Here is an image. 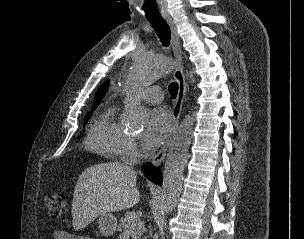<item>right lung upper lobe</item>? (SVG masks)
I'll return each instance as SVG.
<instances>
[{"label": "right lung upper lobe", "mask_w": 304, "mask_h": 239, "mask_svg": "<svg viewBox=\"0 0 304 239\" xmlns=\"http://www.w3.org/2000/svg\"><path fill=\"white\" fill-rule=\"evenodd\" d=\"M108 85H109V81H106L103 85H101L99 87V89H98V91L96 92V95H95V101H94V104H93V108L97 107L98 104L100 103L101 99L103 98L104 94L107 91Z\"/></svg>", "instance_id": "right-lung-upper-lobe-1"}]
</instances>
